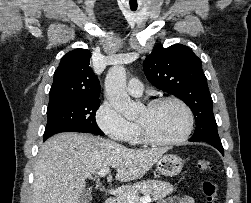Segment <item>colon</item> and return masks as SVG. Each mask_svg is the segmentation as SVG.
<instances>
[{
    "label": "colon",
    "mask_w": 251,
    "mask_h": 203,
    "mask_svg": "<svg viewBox=\"0 0 251 203\" xmlns=\"http://www.w3.org/2000/svg\"><path fill=\"white\" fill-rule=\"evenodd\" d=\"M197 168L205 174H211L214 170L212 163L206 159H199ZM201 189L205 197V203H218V186L213 179H204Z\"/></svg>",
    "instance_id": "5ec220e1"
}]
</instances>
